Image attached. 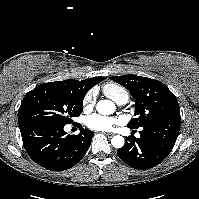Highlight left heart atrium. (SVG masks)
Segmentation results:
<instances>
[{
    "label": "left heart atrium",
    "mask_w": 199,
    "mask_h": 199,
    "mask_svg": "<svg viewBox=\"0 0 199 199\" xmlns=\"http://www.w3.org/2000/svg\"><path fill=\"white\" fill-rule=\"evenodd\" d=\"M87 126L94 130L106 131L114 127L118 121L112 117L102 116L100 114H92L87 118Z\"/></svg>",
    "instance_id": "left-heart-atrium-1"
}]
</instances>
